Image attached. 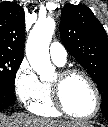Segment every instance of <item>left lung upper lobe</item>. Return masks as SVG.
I'll list each match as a JSON object with an SVG mask.
<instances>
[{
    "label": "left lung upper lobe",
    "instance_id": "5c2ea615",
    "mask_svg": "<svg viewBox=\"0 0 108 127\" xmlns=\"http://www.w3.org/2000/svg\"><path fill=\"white\" fill-rule=\"evenodd\" d=\"M60 36L68 52L97 84L108 120V38L102 24L87 6L68 3L62 9Z\"/></svg>",
    "mask_w": 108,
    "mask_h": 127
}]
</instances>
